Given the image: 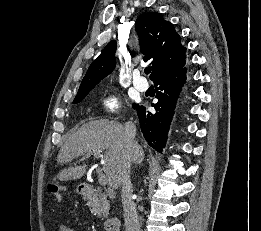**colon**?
<instances>
[{
	"label": "colon",
	"mask_w": 261,
	"mask_h": 231,
	"mask_svg": "<svg viewBox=\"0 0 261 231\" xmlns=\"http://www.w3.org/2000/svg\"><path fill=\"white\" fill-rule=\"evenodd\" d=\"M49 191L57 200L60 201L62 199V191L58 185L52 184L49 188Z\"/></svg>",
	"instance_id": "1"
}]
</instances>
